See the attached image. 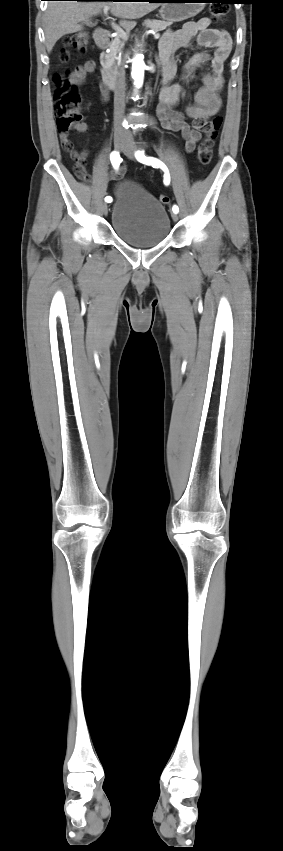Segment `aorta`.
<instances>
[{
	"instance_id": "762f6f07",
	"label": "aorta",
	"mask_w": 283,
	"mask_h": 851,
	"mask_svg": "<svg viewBox=\"0 0 283 851\" xmlns=\"http://www.w3.org/2000/svg\"><path fill=\"white\" fill-rule=\"evenodd\" d=\"M144 71L145 63L143 61V57L137 54L133 58L131 71V76L134 80V85L136 88H140L143 84Z\"/></svg>"
}]
</instances>
